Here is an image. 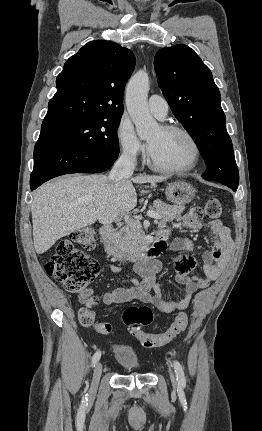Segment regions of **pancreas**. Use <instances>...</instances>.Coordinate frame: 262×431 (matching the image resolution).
<instances>
[{"label": "pancreas", "mask_w": 262, "mask_h": 431, "mask_svg": "<svg viewBox=\"0 0 262 431\" xmlns=\"http://www.w3.org/2000/svg\"><path fill=\"white\" fill-rule=\"evenodd\" d=\"M160 216L161 225L174 220L180 215L185 207L169 205L161 200H155L150 206ZM144 231L138 220L130 219L126 221V226L122 227L115 235V245L119 252L124 254H135L140 252L145 246Z\"/></svg>", "instance_id": "1"}]
</instances>
